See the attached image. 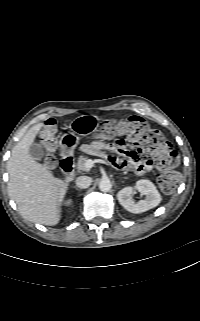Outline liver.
Masks as SVG:
<instances>
[{
    "instance_id": "1",
    "label": "liver",
    "mask_w": 200,
    "mask_h": 321,
    "mask_svg": "<svg viewBox=\"0 0 200 321\" xmlns=\"http://www.w3.org/2000/svg\"><path fill=\"white\" fill-rule=\"evenodd\" d=\"M43 126V123L32 126L13 148L7 162L8 193L23 218L53 226L60 221L68 182L54 177L29 154V147Z\"/></svg>"
}]
</instances>
